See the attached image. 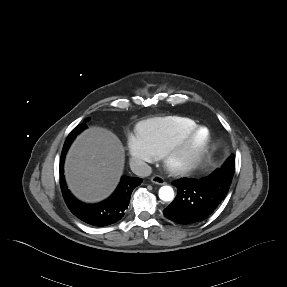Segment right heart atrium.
Wrapping results in <instances>:
<instances>
[{"mask_svg":"<svg viewBox=\"0 0 287 287\" xmlns=\"http://www.w3.org/2000/svg\"><path fill=\"white\" fill-rule=\"evenodd\" d=\"M128 148L132 163L139 168H142L157 159V154L150 142L140 133L129 139Z\"/></svg>","mask_w":287,"mask_h":287,"instance_id":"obj_1","label":"right heart atrium"}]
</instances>
